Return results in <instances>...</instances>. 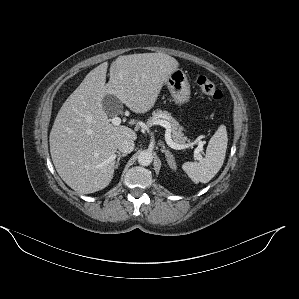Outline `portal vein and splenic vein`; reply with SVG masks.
I'll use <instances>...</instances> for the list:
<instances>
[{
  "label": "portal vein and splenic vein",
  "mask_w": 299,
  "mask_h": 299,
  "mask_svg": "<svg viewBox=\"0 0 299 299\" xmlns=\"http://www.w3.org/2000/svg\"><path fill=\"white\" fill-rule=\"evenodd\" d=\"M111 123L115 126H118L121 124V118L120 117H113L111 120ZM154 124H158V125H161L163 126L166 131H165V140H166V143L173 149H178V150H181V149H186V148H190V147H193V145L195 143H190V144H177L175 142H173L172 138H171V126L170 124L167 122V121H164V120H159V121H156ZM203 149V143L202 142H199L198 143V147L195 149L194 151V156L197 160H200L202 159V156L200 155V152L202 151Z\"/></svg>",
  "instance_id": "18ae733b"
}]
</instances>
